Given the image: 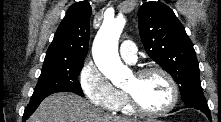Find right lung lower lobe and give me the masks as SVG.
I'll return each instance as SVG.
<instances>
[{"label":"right lung lower lobe","mask_w":221,"mask_h":122,"mask_svg":"<svg viewBox=\"0 0 221 122\" xmlns=\"http://www.w3.org/2000/svg\"><path fill=\"white\" fill-rule=\"evenodd\" d=\"M44 98L36 99V100H30V103L27 105V107L24 111L23 121H26L31 116V114L36 110V108L38 107V105L41 103V101Z\"/></svg>","instance_id":"98d812e1"}]
</instances>
